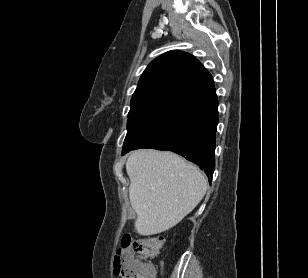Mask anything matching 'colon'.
I'll use <instances>...</instances> for the list:
<instances>
[{
  "mask_svg": "<svg viewBox=\"0 0 308 278\" xmlns=\"http://www.w3.org/2000/svg\"><path fill=\"white\" fill-rule=\"evenodd\" d=\"M162 237L134 239L125 235L113 259V271L122 278H154L150 259L156 257L162 246Z\"/></svg>",
  "mask_w": 308,
  "mask_h": 278,
  "instance_id": "5ec220e1",
  "label": "colon"
}]
</instances>
